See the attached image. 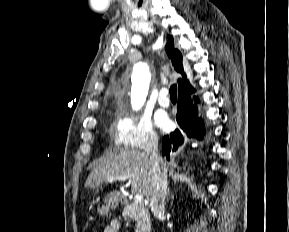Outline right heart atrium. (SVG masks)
Returning <instances> with one entry per match:
<instances>
[{
    "label": "right heart atrium",
    "mask_w": 289,
    "mask_h": 232,
    "mask_svg": "<svg viewBox=\"0 0 289 232\" xmlns=\"http://www.w3.org/2000/svg\"><path fill=\"white\" fill-rule=\"evenodd\" d=\"M112 139L117 148L138 151L154 147L158 136L149 119L121 116L113 124Z\"/></svg>",
    "instance_id": "right-heart-atrium-1"
}]
</instances>
